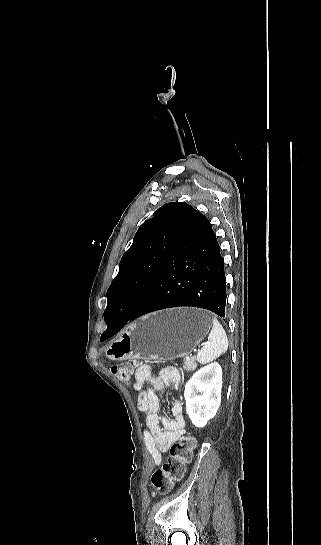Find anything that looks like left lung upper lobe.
<instances>
[{
    "label": "left lung upper lobe",
    "instance_id": "1",
    "mask_svg": "<svg viewBox=\"0 0 321 545\" xmlns=\"http://www.w3.org/2000/svg\"><path fill=\"white\" fill-rule=\"evenodd\" d=\"M194 210L185 202L167 203L139 227L107 291L105 321L115 310L130 313L137 307L163 269Z\"/></svg>",
    "mask_w": 321,
    "mask_h": 545
}]
</instances>
